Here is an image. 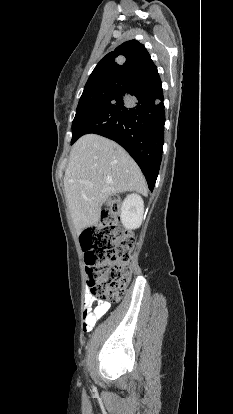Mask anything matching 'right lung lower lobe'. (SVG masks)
Listing matches in <instances>:
<instances>
[{"label":"right lung lower lobe","instance_id":"obj_1","mask_svg":"<svg viewBox=\"0 0 233 414\" xmlns=\"http://www.w3.org/2000/svg\"><path fill=\"white\" fill-rule=\"evenodd\" d=\"M163 101L158 73L134 80L123 95L102 104L84 118L77 138L95 133L116 141L137 162L152 191L162 159Z\"/></svg>","mask_w":233,"mask_h":414}]
</instances>
